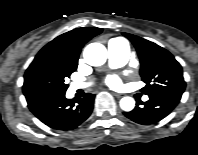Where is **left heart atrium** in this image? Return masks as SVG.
<instances>
[{"instance_id":"1","label":"left heart atrium","mask_w":198,"mask_h":155,"mask_svg":"<svg viewBox=\"0 0 198 155\" xmlns=\"http://www.w3.org/2000/svg\"><path fill=\"white\" fill-rule=\"evenodd\" d=\"M106 83L110 86L119 85V79L116 76H110L107 78Z\"/></svg>"}]
</instances>
